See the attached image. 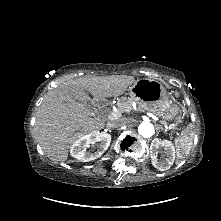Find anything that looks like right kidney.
I'll return each instance as SVG.
<instances>
[{"label": "right kidney", "instance_id": "1", "mask_svg": "<svg viewBox=\"0 0 221 221\" xmlns=\"http://www.w3.org/2000/svg\"><path fill=\"white\" fill-rule=\"evenodd\" d=\"M97 150L87 151L90 144L98 143ZM111 135L108 133H90L76 140L70 149L71 156L82 162L95 160L108 149Z\"/></svg>", "mask_w": 221, "mask_h": 221}]
</instances>
